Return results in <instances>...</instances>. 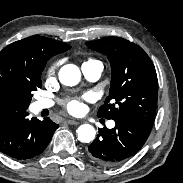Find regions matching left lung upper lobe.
Listing matches in <instances>:
<instances>
[{
  "mask_svg": "<svg viewBox=\"0 0 183 183\" xmlns=\"http://www.w3.org/2000/svg\"><path fill=\"white\" fill-rule=\"evenodd\" d=\"M86 45L106 55L111 63L110 91L105 104L98 110V117L113 120L133 117L153 125L158 80L146 52L120 37H107L86 42Z\"/></svg>",
  "mask_w": 183,
  "mask_h": 183,
  "instance_id": "1",
  "label": "left lung upper lobe"
}]
</instances>
